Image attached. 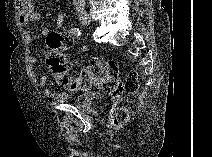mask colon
Instances as JSON below:
<instances>
[{"instance_id":"5ec220e1","label":"colon","mask_w":212,"mask_h":157,"mask_svg":"<svg viewBox=\"0 0 212 157\" xmlns=\"http://www.w3.org/2000/svg\"><path fill=\"white\" fill-rule=\"evenodd\" d=\"M49 51L46 62L49 72L61 87L69 91H86L91 87L103 90L107 94L118 96L123 92L134 94L139 89V80L135 72H130L125 81L119 76V68L113 60H92L78 74H73L67 57V50L73 45L69 35L50 33L47 38ZM128 119L125 109L119 108L114 114V125H121Z\"/></svg>"}]
</instances>
